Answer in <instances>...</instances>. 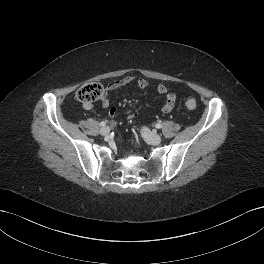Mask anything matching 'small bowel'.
I'll return each mask as SVG.
<instances>
[{"instance_id":"obj_1","label":"small bowel","mask_w":264,"mask_h":264,"mask_svg":"<svg viewBox=\"0 0 264 264\" xmlns=\"http://www.w3.org/2000/svg\"><path fill=\"white\" fill-rule=\"evenodd\" d=\"M130 84L134 85L137 89L143 90L147 88L148 81L143 78H135L133 76H127V77H124L118 80H114L111 83H109L107 85V90L114 91V90L120 89ZM156 90L159 96H162L165 98V103L162 107V111L164 113H169L175 105V101H176L175 95L172 93H169L168 89L162 84L158 85ZM102 105L104 107H109L110 102H109L108 97L105 96L102 99ZM84 108L86 110H92L94 106L91 103H87V104H84ZM117 113H118V109L116 107H112L109 111V116L111 118H114L117 115Z\"/></svg>"}]
</instances>
